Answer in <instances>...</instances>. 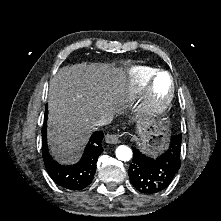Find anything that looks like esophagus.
<instances>
[{"mask_svg": "<svg viewBox=\"0 0 221 221\" xmlns=\"http://www.w3.org/2000/svg\"><path fill=\"white\" fill-rule=\"evenodd\" d=\"M105 140L109 144H118L120 142L118 134H107Z\"/></svg>", "mask_w": 221, "mask_h": 221, "instance_id": "esophagus-1", "label": "esophagus"}]
</instances>
